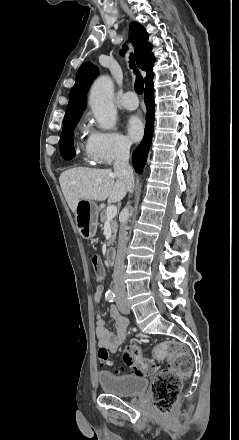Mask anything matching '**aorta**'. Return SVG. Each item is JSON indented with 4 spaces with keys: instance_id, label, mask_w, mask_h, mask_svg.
<instances>
[{
    "instance_id": "obj_1",
    "label": "aorta",
    "mask_w": 239,
    "mask_h": 440,
    "mask_svg": "<svg viewBox=\"0 0 239 440\" xmlns=\"http://www.w3.org/2000/svg\"><path fill=\"white\" fill-rule=\"evenodd\" d=\"M113 94V82L109 76H100L95 80L89 96V106L103 130H111L116 124L117 108L113 104Z\"/></svg>"
}]
</instances>
